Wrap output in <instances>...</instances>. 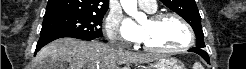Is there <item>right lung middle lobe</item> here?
<instances>
[{"mask_svg":"<svg viewBox=\"0 0 246 69\" xmlns=\"http://www.w3.org/2000/svg\"><path fill=\"white\" fill-rule=\"evenodd\" d=\"M104 15L63 14L44 17L40 35H74L81 38H101Z\"/></svg>","mask_w":246,"mask_h":69,"instance_id":"1","label":"right lung middle lobe"}]
</instances>
